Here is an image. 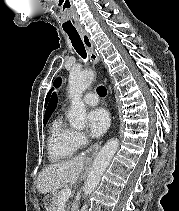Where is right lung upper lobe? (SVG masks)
I'll return each mask as SVG.
<instances>
[{
	"mask_svg": "<svg viewBox=\"0 0 179 211\" xmlns=\"http://www.w3.org/2000/svg\"><path fill=\"white\" fill-rule=\"evenodd\" d=\"M56 105H57V95L54 93L50 102H49V105H48V108L45 112L44 118H49L51 116L54 109L56 108Z\"/></svg>",
	"mask_w": 179,
	"mask_h": 211,
	"instance_id": "cb5924a9",
	"label": "right lung upper lobe"
}]
</instances>
